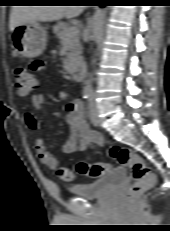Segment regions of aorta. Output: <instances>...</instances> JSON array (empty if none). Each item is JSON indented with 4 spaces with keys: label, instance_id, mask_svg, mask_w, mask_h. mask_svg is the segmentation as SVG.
<instances>
[{
    "label": "aorta",
    "instance_id": "aorta-1",
    "mask_svg": "<svg viewBox=\"0 0 170 231\" xmlns=\"http://www.w3.org/2000/svg\"><path fill=\"white\" fill-rule=\"evenodd\" d=\"M88 86L90 85V81L87 82Z\"/></svg>",
    "mask_w": 170,
    "mask_h": 231
}]
</instances>
